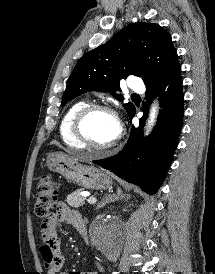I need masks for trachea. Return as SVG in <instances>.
I'll return each instance as SVG.
<instances>
[{"label": "trachea", "mask_w": 215, "mask_h": 274, "mask_svg": "<svg viewBox=\"0 0 215 274\" xmlns=\"http://www.w3.org/2000/svg\"><path fill=\"white\" fill-rule=\"evenodd\" d=\"M132 97H139V95H137V94H132Z\"/></svg>", "instance_id": "3493384b"}]
</instances>
